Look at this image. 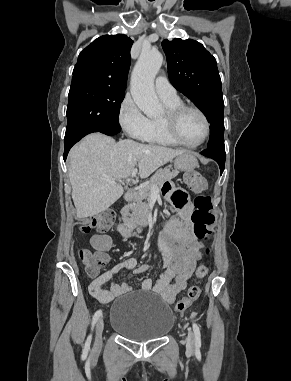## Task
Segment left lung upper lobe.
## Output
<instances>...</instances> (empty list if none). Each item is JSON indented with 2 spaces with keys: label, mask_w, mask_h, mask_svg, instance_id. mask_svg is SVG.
Listing matches in <instances>:
<instances>
[{
  "label": "left lung upper lobe",
  "mask_w": 291,
  "mask_h": 381,
  "mask_svg": "<svg viewBox=\"0 0 291 381\" xmlns=\"http://www.w3.org/2000/svg\"><path fill=\"white\" fill-rule=\"evenodd\" d=\"M172 85L205 114L210 127L208 149H225L224 102L216 59L192 39L162 41Z\"/></svg>",
  "instance_id": "obj_1"
}]
</instances>
